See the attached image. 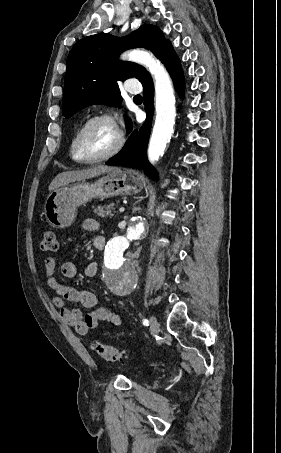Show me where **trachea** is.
<instances>
[{
    "label": "trachea",
    "instance_id": "3493384b",
    "mask_svg": "<svg viewBox=\"0 0 281 453\" xmlns=\"http://www.w3.org/2000/svg\"><path fill=\"white\" fill-rule=\"evenodd\" d=\"M136 97H141V95H135V97H134V98H136Z\"/></svg>",
    "mask_w": 281,
    "mask_h": 453
}]
</instances>
